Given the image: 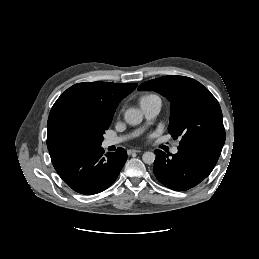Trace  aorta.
Instances as JSON below:
<instances>
[{
  "instance_id": "762f6f07",
  "label": "aorta",
  "mask_w": 259,
  "mask_h": 259,
  "mask_svg": "<svg viewBox=\"0 0 259 259\" xmlns=\"http://www.w3.org/2000/svg\"><path fill=\"white\" fill-rule=\"evenodd\" d=\"M124 118L129 125H138L143 120V114L138 109L129 108L126 110ZM142 160L146 164H152L155 160V154L147 151L142 155Z\"/></svg>"
}]
</instances>
